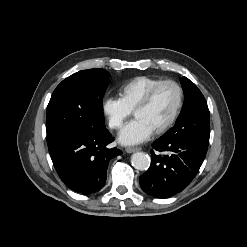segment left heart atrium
Returning a JSON list of instances; mask_svg holds the SVG:
<instances>
[{"mask_svg": "<svg viewBox=\"0 0 247 247\" xmlns=\"http://www.w3.org/2000/svg\"><path fill=\"white\" fill-rule=\"evenodd\" d=\"M153 130L142 120L135 118L126 124L119 133V142L123 145H135L147 141Z\"/></svg>", "mask_w": 247, "mask_h": 247, "instance_id": "left-heart-atrium-1", "label": "left heart atrium"}]
</instances>
